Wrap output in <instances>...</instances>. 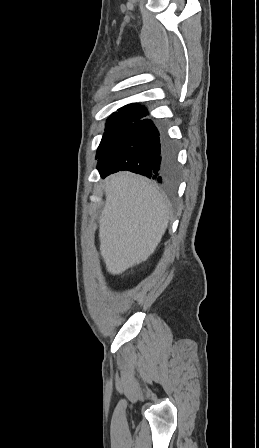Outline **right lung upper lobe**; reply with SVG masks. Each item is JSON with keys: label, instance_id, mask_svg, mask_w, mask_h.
I'll use <instances>...</instances> for the list:
<instances>
[{"label": "right lung upper lobe", "instance_id": "obj_1", "mask_svg": "<svg viewBox=\"0 0 259 448\" xmlns=\"http://www.w3.org/2000/svg\"><path fill=\"white\" fill-rule=\"evenodd\" d=\"M119 113L114 114H139L142 116L148 115V111L145 107L139 105L138 103L128 104L120 109H118Z\"/></svg>", "mask_w": 259, "mask_h": 448}]
</instances>
